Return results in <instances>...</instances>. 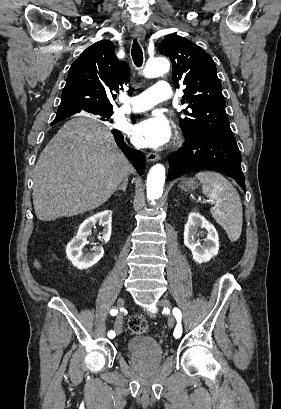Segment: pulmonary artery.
<instances>
[{"mask_svg": "<svg viewBox=\"0 0 281 409\" xmlns=\"http://www.w3.org/2000/svg\"><path fill=\"white\" fill-rule=\"evenodd\" d=\"M171 87L172 84L169 81H156L154 83L156 90H143L142 94H134L133 102H126L121 111H143L163 103L164 99L173 97V92L169 90Z\"/></svg>", "mask_w": 281, "mask_h": 409, "instance_id": "pulmonary-artery-1", "label": "pulmonary artery"}]
</instances>
